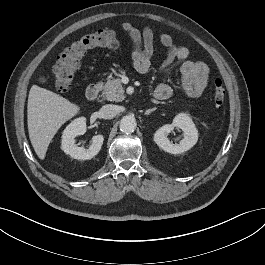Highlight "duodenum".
Segmentation results:
<instances>
[{
	"mask_svg": "<svg viewBox=\"0 0 265 265\" xmlns=\"http://www.w3.org/2000/svg\"><path fill=\"white\" fill-rule=\"evenodd\" d=\"M100 87L97 84H92L86 89V97L88 100H95L99 94Z\"/></svg>",
	"mask_w": 265,
	"mask_h": 265,
	"instance_id": "410a0bca",
	"label": "duodenum"
}]
</instances>
